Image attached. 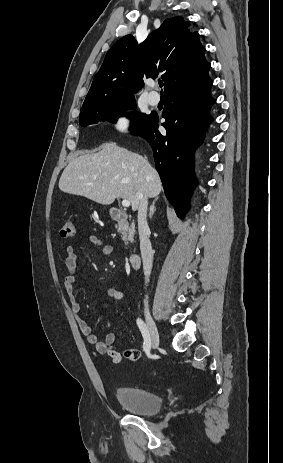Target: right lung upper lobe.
Listing matches in <instances>:
<instances>
[{
  "label": "right lung upper lobe",
  "mask_w": 283,
  "mask_h": 463,
  "mask_svg": "<svg viewBox=\"0 0 283 463\" xmlns=\"http://www.w3.org/2000/svg\"><path fill=\"white\" fill-rule=\"evenodd\" d=\"M189 26V22L176 16L166 19L140 45L132 35L118 40L107 52L83 105L134 97L143 86L142 77L161 74L166 93L208 75L210 63L205 59V48L198 32H191Z\"/></svg>",
  "instance_id": "obj_1"
}]
</instances>
